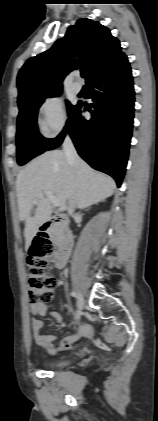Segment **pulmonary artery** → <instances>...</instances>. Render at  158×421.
I'll return each instance as SVG.
<instances>
[{"instance_id":"1","label":"pulmonary artery","mask_w":158,"mask_h":421,"mask_svg":"<svg viewBox=\"0 0 158 421\" xmlns=\"http://www.w3.org/2000/svg\"><path fill=\"white\" fill-rule=\"evenodd\" d=\"M81 90H82V84H81V82L79 80V76H77V79H76L75 83L72 86V91L74 93L78 94V93L81 92Z\"/></svg>"}]
</instances>
